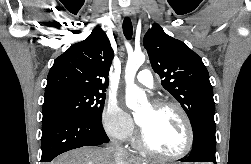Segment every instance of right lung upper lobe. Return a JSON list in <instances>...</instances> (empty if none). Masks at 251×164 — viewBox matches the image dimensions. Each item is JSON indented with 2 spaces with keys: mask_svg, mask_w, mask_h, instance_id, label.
<instances>
[{
  "mask_svg": "<svg viewBox=\"0 0 251 164\" xmlns=\"http://www.w3.org/2000/svg\"><path fill=\"white\" fill-rule=\"evenodd\" d=\"M113 56L107 35L100 26L95 27L89 37L72 45L54 61L45 91L75 88L104 92Z\"/></svg>",
  "mask_w": 251,
  "mask_h": 164,
  "instance_id": "right-lung-upper-lobe-1",
  "label": "right lung upper lobe"
}]
</instances>
